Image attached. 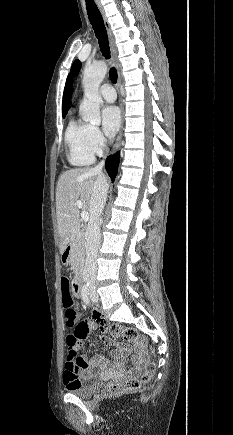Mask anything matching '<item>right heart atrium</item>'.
Returning a JSON list of instances; mask_svg holds the SVG:
<instances>
[{
  "label": "right heart atrium",
  "instance_id": "1",
  "mask_svg": "<svg viewBox=\"0 0 233 435\" xmlns=\"http://www.w3.org/2000/svg\"><path fill=\"white\" fill-rule=\"evenodd\" d=\"M105 138L96 126H90L89 130V148L93 154H101L105 149Z\"/></svg>",
  "mask_w": 233,
  "mask_h": 435
}]
</instances>
